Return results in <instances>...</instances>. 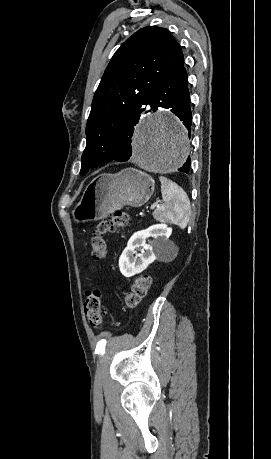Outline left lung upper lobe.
<instances>
[{"label": "left lung upper lobe", "instance_id": "obj_1", "mask_svg": "<svg viewBox=\"0 0 271 459\" xmlns=\"http://www.w3.org/2000/svg\"><path fill=\"white\" fill-rule=\"evenodd\" d=\"M183 66L181 46L164 28H142L120 46L94 94L80 175L122 151V135L145 111L148 95Z\"/></svg>", "mask_w": 271, "mask_h": 459}]
</instances>
